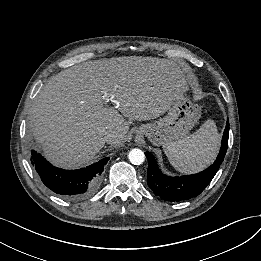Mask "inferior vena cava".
Returning a JSON list of instances; mask_svg holds the SVG:
<instances>
[{"instance_id":"602c4592","label":"inferior vena cava","mask_w":261,"mask_h":261,"mask_svg":"<svg viewBox=\"0 0 261 261\" xmlns=\"http://www.w3.org/2000/svg\"><path fill=\"white\" fill-rule=\"evenodd\" d=\"M118 137V135L116 134V132L112 131V130H106L104 133V138L106 140V142H111L116 140Z\"/></svg>"}]
</instances>
